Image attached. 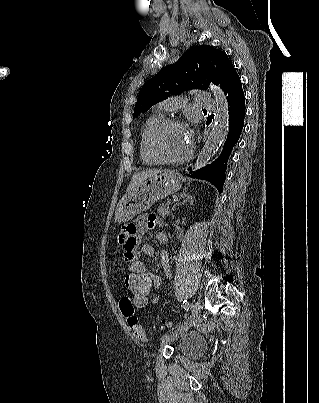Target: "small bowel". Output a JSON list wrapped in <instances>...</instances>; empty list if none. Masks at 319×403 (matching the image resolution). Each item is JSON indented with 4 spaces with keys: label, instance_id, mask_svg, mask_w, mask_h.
<instances>
[{
    "label": "small bowel",
    "instance_id": "1",
    "mask_svg": "<svg viewBox=\"0 0 319 403\" xmlns=\"http://www.w3.org/2000/svg\"><path fill=\"white\" fill-rule=\"evenodd\" d=\"M162 225L161 219L155 214L143 215L131 222L130 224H123L121 227V232L115 233V246L121 247V260L127 263H134L135 258H138L139 254L152 255L154 253V246L150 243L141 244V237L150 231H156ZM156 239L160 244H166L168 241L167 235L163 232L156 233ZM140 250L136 252L135 248ZM159 259L162 268L167 277L171 276L169 257L166 251H161L159 253ZM144 267H146L144 265ZM147 275H154L155 282L152 284V290H157L161 286V278L151 273L147 269ZM127 276L125 277L126 281ZM126 286V284H125ZM127 288V287H126ZM128 289V288H127ZM121 296H130L129 294H122ZM152 304H156L159 301V296L152 297L148 300ZM134 303V302H133ZM135 305V303H134ZM129 337H133L129 334Z\"/></svg>",
    "mask_w": 319,
    "mask_h": 403
}]
</instances>
